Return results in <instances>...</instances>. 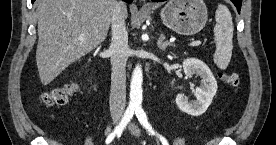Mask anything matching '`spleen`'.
I'll use <instances>...</instances> for the list:
<instances>
[{"label":"spleen","mask_w":276,"mask_h":145,"mask_svg":"<svg viewBox=\"0 0 276 145\" xmlns=\"http://www.w3.org/2000/svg\"><path fill=\"white\" fill-rule=\"evenodd\" d=\"M215 20L214 40L216 50L213 60L218 68L224 70L227 68L232 56L234 31L231 13L225 5L218 4Z\"/></svg>","instance_id":"1"}]
</instances>
